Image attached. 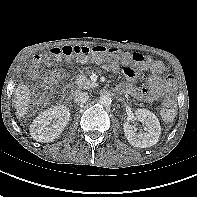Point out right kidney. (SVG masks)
<instances>
[{"label":"right kidney","instance_id":"ca27d5eb","mask_svg":"<svg viewBox=\"0 0 197 197\" xmlns=\"http://www.w3.org/2000/svg\"><path fill=\"white\" fill-rule=\"evenodd\" d=\"M70 120L69 109L64 105L45 110L30 125V135L39 142H51L57 138Z\"/></svg>","mask_w":197,"mask_h":197}]
</instances>
